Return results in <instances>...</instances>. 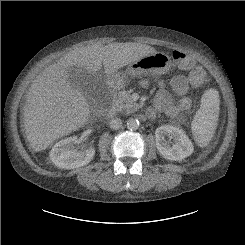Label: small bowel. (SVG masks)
Masks as SVG:
<instances>
[{
    "instance_id": "c3829d8e",
    "label": "small bowel",
    "mask_w": 245,
    "mask_h": 245,
    "mask_svg": "<svg viewBox=\"0 0 245 245\" xmlns=\"http://www.w3.org/2000/svg\"><path fill=\"white\" fill-rule=\"evenodd\" d=\"M158 88L154 103L147 109L148 118H154L160 112L173 118L191 107L192 101L185 95L188 84L184 76L177 75L171 79L173 93L167 91L163 82L158 83Z\"/></svg>"
}]
</instances>
